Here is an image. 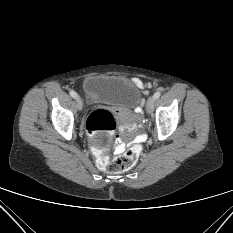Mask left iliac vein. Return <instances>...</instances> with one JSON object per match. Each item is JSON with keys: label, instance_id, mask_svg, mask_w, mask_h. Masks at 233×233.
<instances>
[{"label": "left iliac vein", "instance_id": "1", "mask_svg": "<svg viewBox=\"0 0 233 233\" xmlns=\"http://www.w3.org/2000/svg\"><path fill=\"white\" fill-rule=\"evenodd\" d=\"M155 99L153 96L149 97L146 103V109L148 113H151L153 111V106H154Z\"/></svg>", "mask_w": 233, "mask_h": 233}]
</instances>
